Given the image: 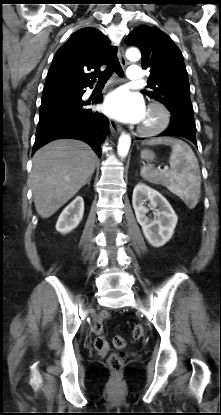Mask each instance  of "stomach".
I'll list each match as a JSON object with an SVG mask.
<instances>
[{"label": "stomach", "instance_id": "stomach-1", "mask_svg": "<svg viewBox=\"0 0 221 415\" xmlns=\"http://www.w3.org/2000/svg\"><path fill=\"white\" fill-rule=\"evenodd\" d=\"M141 157L143 159L152 160L154 158V154L149 150H143L141 152Z\"/></svg>", "mask_w": 221, "mask_h": 415}]
</instances>
